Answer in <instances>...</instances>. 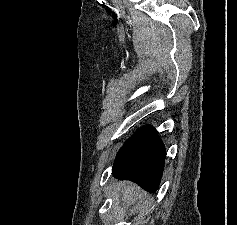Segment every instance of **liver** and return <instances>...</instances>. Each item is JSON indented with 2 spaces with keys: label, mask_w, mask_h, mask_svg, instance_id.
Segmentation results:
<instances>
[{
  "label": "liver",
  "mask_w": 237,
  "mask_h": 225,
  "mask_svg": "<svg viewBox=\"0 0 237 225\" xmlns=\"http://www.w3.org/2000/svg\"><path fill=\"white\" fill-rule=\"evenodd\" d=\"M140 194V190L137 186L132 184H127L122 189V200L129 203H134L138 199V195Z\"/></svg>",
  "instance_id": "obj_1"
}]
</instances>
